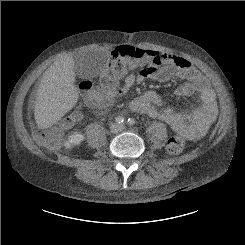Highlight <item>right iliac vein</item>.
<instances>
[{"label":"right iliac vein","mask_w":245,"mask_h":245,"mask_svg":"<svg viewBox=\"0 0 245 245\" xmlns=\"http://www.w3.org/2000/svg\"><path fill=\"white\" fill-rule=\"evenodd\" d=\"M119 130H120V127H119V125H117V124H113V125H111V127H110V131H111L112 133H117Z\"/></svg>","instance_id":"1"}]
</instances>
